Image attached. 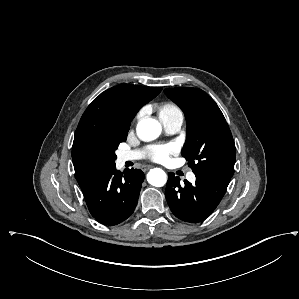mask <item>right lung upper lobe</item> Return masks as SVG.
<instances>
[{"mask_svg":"<svg viewBox=\"0 0 299 299\" xmlns=\"http://www.w3.org/2000/svg\"><path fill=\"white\" fill-rule=\"evenodd\" d=\"M161 87L122 84L101 93L85 110L75 132L72 160L82 187L93 178L88 174L84 147L100 140L107 132L127 133L137 111L156 97Z\"/></svg>","mask_w":299,"mask_h":299,"instance_id":"1","label":"right lung upper lobe"}]
</instances>
